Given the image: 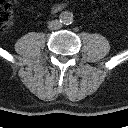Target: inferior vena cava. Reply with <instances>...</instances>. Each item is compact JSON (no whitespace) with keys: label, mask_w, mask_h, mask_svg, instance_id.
<instances>
[{"label":"inferior vena cava","mask_w":128,"mask_h":128,"mask_svg":"<svg viewBox=\"0 0 128 128\" xmlns=\"http://www.w3.org/2000/svg\"><path fill=\"white\" fill-rule=\"evenodd\" d=\"M62 26L61 22L59 20H53L49 23V29L51 30H58Z\"/></svg>","instance_id":"obj_1"}]
</instances>
